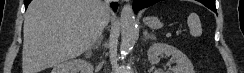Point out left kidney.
I'll list each match as a JSON object with an SVG mask.
<instances>
[{
	"label": "left kidney",
	"instance_id": "left-kidney-1",
	"mask_svg": "<svg viewBox=\"0 0 244 73\" xmlns=\"http://www.w3.org/2000/svg\"><path fill=\"white\" fill-rule=\"evenodd\" d=\"M148 60L151 64H157L160 61V56H172L175 59L176 66L172 68L171 73H195L193 64L188 57L177 48L165 44L154 43L147 52ZM155 73H164L162 70H155Z\"/></svg>",
	"mask_w": 244,
	"mask_h": 73
}]
</instances>
